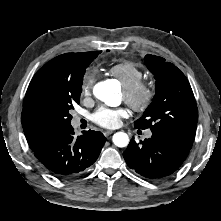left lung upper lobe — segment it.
<instances>
[{
	"label": "left lung upper lobe",
	"mask_w": 221,
	"mask_h": 221,
	"mask_svg": "<svg viewBox=\"0 0 221 221\" xmlns=\"http://www.w3.org/2000/svg\"><path fill=\"white\" fill-rule=\"evenodd\" d=\"M144 60L156 80V93L134 126L138 129L150 128L152 133L191 149L198 109L187 78L174 64L162 57L147 54Z\"/></svg>",
	"instance_id": "5c2ea615"
}]
</instances>
